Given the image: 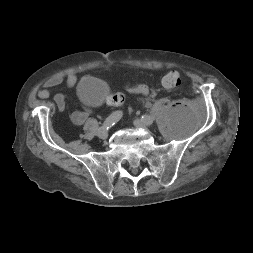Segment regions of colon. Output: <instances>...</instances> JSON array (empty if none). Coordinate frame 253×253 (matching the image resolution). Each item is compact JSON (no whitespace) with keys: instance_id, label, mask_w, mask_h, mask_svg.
Returning a JSON list of instances; mask_svg holds the SVG:
<instances>
[{"instance_id":"obj_1","label":"colon","mask_w":253,"mask_h":253,"mask_svg":"<svg viewBox=\"0 0 253 253\" xmlns=\"http://www.w3.org/2000/svg\"><path fill=\"white\" fill-rule=\"evenodd\" d=\"M180 83H181L180 75L174 71L169 72L163 78V85L166 88L177 87ZM124 87L126 90L130 92L138 93L143 96H146L149 93V89L145 85H130L126 83ZM106 102L112 106H121L124 103V95L120 92L109 93L108 97L106 98Z\"/></svg>"}]
</instances>
